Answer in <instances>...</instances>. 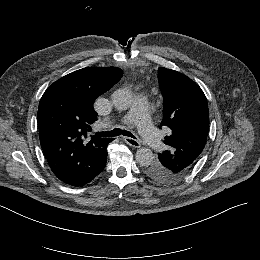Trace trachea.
Segmentation results:
<instances>
[{"instance_id": "obj_1", "label": "trachea", "mask_w": 260, "mask_h": 260, "mask_svg": "<svg viewBox=\"0 0 260 260\" xmlns=\"http://www.w3.org/2000/svg\"><path fill=\"white\" fill-rule=\"evenodd\" d=\"M96 135L98 137H114V136L123 135V136L131 137V138H135V136L131 132L126 131L124 129H120V128H115L110 131L97 132Z\"/></svg>"}]
</instances>
